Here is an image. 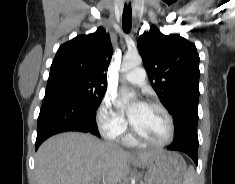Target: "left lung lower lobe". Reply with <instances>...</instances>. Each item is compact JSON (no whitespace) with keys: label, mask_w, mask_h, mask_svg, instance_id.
I'll return each instance as SVG.
<instances>
[{"label":"left lung lower lobe","mask_w":235,"mask_h":184,"mask_svg":"<svg viewBox=\"0 0 235 184\" xmlns=\"http://www.w3.org/2000/svg\"><path fill=\"white\" fill-rule=\"evenodd\" d=\"M167 149L184 152L193 159L196 165L198 164V140L185 137L174 139Z\"/></svg>","instance_id":"obj_1"}]
</instances>
